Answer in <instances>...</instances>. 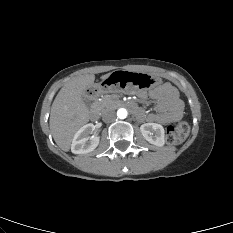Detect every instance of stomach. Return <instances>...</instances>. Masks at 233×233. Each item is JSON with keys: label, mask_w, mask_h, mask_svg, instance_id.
<instances>
[{"label": "stomach", "mask_w": 233, "mask_h": 233, "mask_svg": "<svg viewBox=\"0 0 233 233\" xmlns=\"http://www.w3.org/2000/svg\"><path fill=\"white\" fill-rule=\"evenodd\" d=\"M161 83L158 77L145 72L116 71L100 83V90L104 94H111L119 88L149 89Z\"/></svg>", "instance_id": "obj_1"}]
</instances>
